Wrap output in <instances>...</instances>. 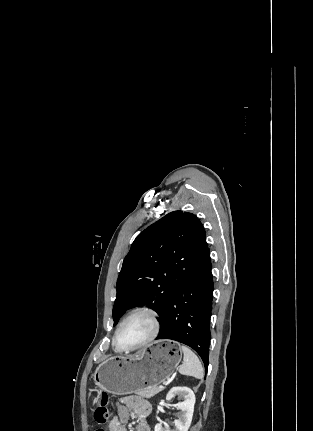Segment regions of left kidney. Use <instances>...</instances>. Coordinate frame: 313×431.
Returning a JSON list of instances; mask_svg holds the SVG:
<instances>
[{"label": "left kidney", "instance_id": "obj_1", "mask_svg": "<svg viewBox=\"0 0 313 431\" xmlns=\"http://www.w3.org/2000/svg\"><path fill=\"white\" fill-rule=\"evenodd\" d=\"M175 396H178L182 399V401L177 406V409L180 410V414L179 418L174 421L175 429H164L162 424L158 423L155 426V431H188L194 412V392L187 387H173L168 392L166 400L170 401Z\"/></svg>", "mask_w": 313, "mask_h": 431}]
</instances>
